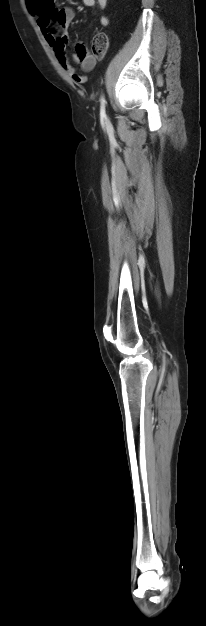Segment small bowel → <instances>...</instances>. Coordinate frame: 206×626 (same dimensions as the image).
I'll return each mask as SVG.
<instances>
[{"mask_svg":"<svg viewBox=\"0 0 206 626\" xmlns=\"http://www.w3.org/2000/svg\"><path fill=\"white\" fill-rule=\"evenodd\" d=\"M85 6L94 7L98 6L104 9L107 6L108 0H82ZM30 11L37 17V23L40 27L46 42L52 48L55 56L66 71V73L72 77L77 83H82L81 77L76 69L71 65L67 47L69 45V37L65 33L59 34L57 28L63 31L67 29L70 22L74 19L75 13L70 7H63L61 9H55L53 0H27ZM98 21L102 26L109 24V19L105 15H100ZM55 24V25H54ZM73 59L80 65V68L84 72L91 71L96 65V58L89 52L86 46L79 42L75 46V52L73 53Z\"/></svg>","mask_w":206,"mask_h":626,"instance_id":"1","label":"small bowel"}]
</instances>
